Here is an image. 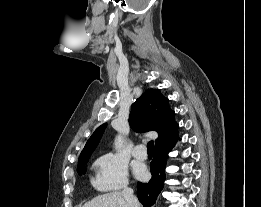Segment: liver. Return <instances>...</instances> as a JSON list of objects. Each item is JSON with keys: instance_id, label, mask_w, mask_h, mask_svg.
<instances>
[{"instance_id": "obj_1", "label": "liver", "mask_w": 261, "mask_h": 207, "mask_svg": "<svg viewBox=\"0 0 261 207\" xmlns=\"http://www.w3.org/2000/svg\"><path fill=\"white\" fill-rule=\"evenodd\" d=\"M83 207H129L121 192H111L93 198Z\"/></svg>"}]
</instances>
